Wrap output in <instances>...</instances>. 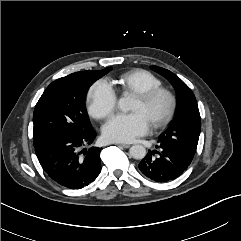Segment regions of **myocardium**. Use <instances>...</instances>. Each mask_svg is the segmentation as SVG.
<instances>
[{"mask_svg":"<svg viewBox=\"0 0 241 241\" xmlns=\"http://www.w3.org/2000/svg\"><path fill=\"white\" fill-rule=\"evenodd\" d=\"M145 104H151L160 97L166 98L168 102L165 114L158 120L152 123L156 129L166 127L173 119L177 107V100L172 91L165 87L153 88L135 95Z\"/></svg>","mask_w":241,"mask_h":241,"instance_id":"1","label":"myocardium"}]
</instances>
